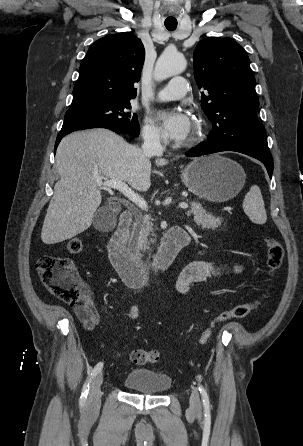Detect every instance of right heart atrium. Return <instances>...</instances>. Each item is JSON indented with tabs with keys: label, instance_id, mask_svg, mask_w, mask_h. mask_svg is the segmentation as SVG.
I'll return each instance as SVG.
<instances>
[{
	"label": "right heart atrium",
	"instance_id": "d8ad5b80",
	"mask_svg": "<svg viewBox=\"0 0 303 446\" xmlns=\"http://www.w3.org/2000/svg\"><path fill=\"white\" fill-rule=\"evenodd\" d=\"M142 137L144 141L151 145H157L164 142L161 130L151 118H145L142 127Z\"/></svg>",
	"mask_w": 303,
	"mask_h": 446
}]
</instances>
